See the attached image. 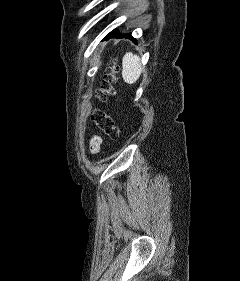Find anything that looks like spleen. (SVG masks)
<instances>
[{"label": "spleen", "mask_w": 240, "mask_h": 281, "mask_svg": "<svg viewBox=\"0 0 240 281\" xmlns=\"http://www.w3.org/2000/svg\"><path fill=\"white\" fill-rule=\"evenodd\" d=\"M122 68V77L128 84L135 83L143 71L139 56L130 52L124 55L122 60Z\"/></svg>", "instance_id": "spleen-1"}]
</instances>
